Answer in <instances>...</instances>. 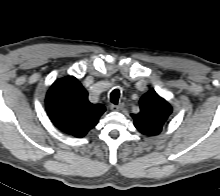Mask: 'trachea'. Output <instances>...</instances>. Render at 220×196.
Masks as SVG:
<instances>
[{"mask_svg":"<svg viewBox=\"0 0 220 196\" xmlns=\"http://www.w3.org/2000/svg\"><path fill=\"white\" fill-rule=\"evenodd\" d=\"M119 98H120V90L119 89L113 90L110 94V102L113 103L114 105H117L119 102Z\"/></svg>","mask_w":220,"mask_h":196,"instance_id":"1","label":"trachea"}]
</instances>
